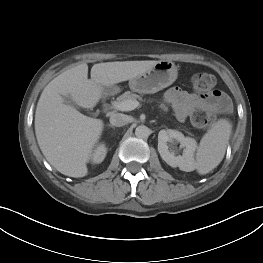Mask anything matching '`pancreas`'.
Instances as JSON below:
<instances>
[{
  "instance_id": "obj_1",
  "label": "pancreas",
  "mask_w": 263,
  "mask_h": 263,
  "mask_svg": "<svg viewBox=\"0 0 263 263\" xmlns=\"http://www.w3.org/2000/svg\"><path fill=\"white\" fill-rule=\"evenodd\" d=\"M141 100L142 97L140 95H137L133 92H130V91H127L125 93H123L122 95H120L119 97H117L116 101H114L113 103L115 102H123V101H126V100ZM164 111H167V108L164 106V105H161L160 106Z\"/></svg>"
}]
</instances>
